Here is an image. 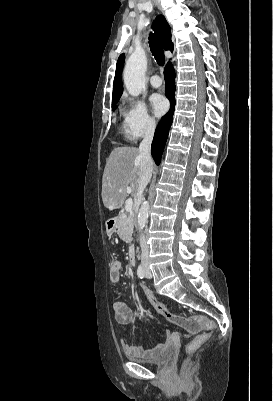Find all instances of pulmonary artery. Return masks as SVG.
<instances>
[{
  "label": "pulmonary artery",
  "instance_id": "obj_1",
  "mask_svg": "<svg viewBox=\"0 0 273 401\" xmlns=\"http://www.w3.org/2000/svg\"><path fill=\"white\" fill-rule=\"evenodd\" d=\"M150 83H149V86H150V88L151 89H158L159 88V86H160V80H161V77H160V75L159 74H152L151 75V77H150Z\"/></svg>",
  "mask_w": 273,
  "mask_h": 401
}]
</instances>
